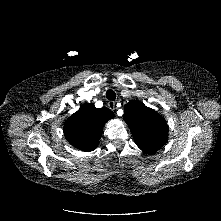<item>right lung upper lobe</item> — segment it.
I'll list each match as a JSON object with an SVG mask.
<instances>
[{
    "label": "right lung upper lobe",
    "mask_w": 221,
    "mask_h": 221,
    "mask_svg": "<svg viewBox=\"0 0 221 221\" xmlns=\"http://www.w3.org/2000/svg\"><path fill=\"white\" fill-rule=\"evenodd\" d=\"M113 117L108 108L98 109L92 104H85L66 120V139L82 151H92L98 145L104 124Z\"/></svg>",
    "instance_id": "obj_1"
}]
</instances>
